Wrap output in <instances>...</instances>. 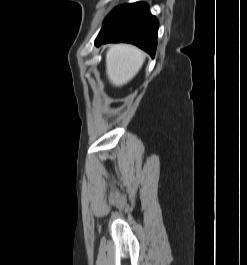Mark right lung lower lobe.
<instances>
[{
	"instance_id": "98d812e1",
	"label": "right lung lower lobe",
	"mask_w": 247,
	"mask_h": 265,
	"mask_svg": "<svg viewBox=\"0 0 247 265\" xmlns=\"http://www.w3.org/2000/svg\"><path fill=\"white\" fill-rule=\"evenodd\" d=\"M158 21L146 3L126 4L116 8L104 21L95 40L97 46L108 42H128L155 55Z\"/></svg>"
}]
</instances>
